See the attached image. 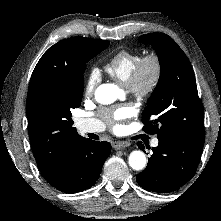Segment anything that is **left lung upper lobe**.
Wrapping results in <instances>:
<instances>
[{"label": "left lung upper lobe", "mask_w": 221, "mask_h": 221, "mask_svg": "<svg viewBox=\"0 0 221 221\" xmlns=\"http://www.w3.org/2000/svg\"><path fill=\"white\" fill-rule=\"evenodd\" d=\"M139 39L156 49L161 68L158 84L142 114L143 130L158 138L204 137L203 105L187 56L164 33H149Z\"/></svg>", "instance_id": "1"}]
</instances>
